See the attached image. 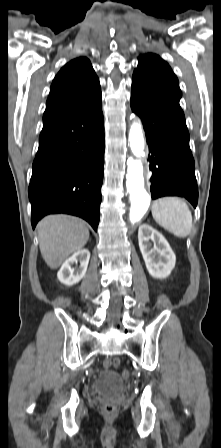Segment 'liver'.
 Listing matches in <instances>:
<instances>
[{"mask_svg": "<svg viewBox=\"0 0 221 448\" xmlns=\"http://www.w3.org/2000/svg\"><path fill=\"white\" fill-rule=\"evenodd\" d=\"M41 255L51 269L58 268L89 240L84 221L69 215H49L38 224Z\"/></svg>", "mask_w": 221, "mask_h": 448, "instance_id": "1", "label": "liver"}]
</instances>
